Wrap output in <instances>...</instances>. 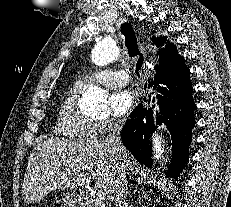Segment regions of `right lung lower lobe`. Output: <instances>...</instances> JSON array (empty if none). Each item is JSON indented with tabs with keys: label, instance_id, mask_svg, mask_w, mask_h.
I'll list each match as a JSON object with an SVG mask.
<instances>
[{
	"label": "right lung lower lobe",
	"instance_id": "98d812e1",
	"mask_svg": "<svg viewBox=\"0 0 231 207\" xmlns=\"http://www.w3.org/2000/svg\"><path fill=\"white\" fill-rule=\"evenodd\" d=\"M155 78L148 87L155 90L150 106L139 105L130 114L123 127L121 139L135 158L147 167L152 166L150 135L157 124H164L171 136L172 158L166 171L170 177H178L189 158L191 130L195 124V103L190 72L182 56L160 57L155 66ZM151 96V95H150ZM149 97V102H150Z\"/></svg>",
	"mask_w": 231,
	"mask_h": 207
}]
</instances>
